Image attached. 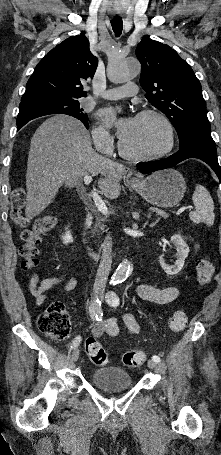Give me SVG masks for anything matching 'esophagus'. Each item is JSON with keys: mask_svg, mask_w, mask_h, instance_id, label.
<instances>
[{"mask_svg": "<svg viewBox=\"0 0 221 455\" xmlns=\"http://www.w3.org/2000/svg\"><path fill=\"white\" fill-rule=\"evenodd\" d=\"M130 181L135 182L136 178H131Z\"/></svg>", "mask_w": 221, "mask_h": 455, "instance_id": "obj_1", "label": "esophagus"}]
</instances>
